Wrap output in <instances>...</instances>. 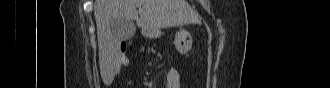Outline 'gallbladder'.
<instances>
[{"mask_svg":"<svg viewBox=\"0 0 330 88\" xmlns=\"http://www.w3.org/2000/svg\"><path fill=\"white\" fill-rule=\"evenodd\" d=\"M115 31L119 33L121 41L130 40L135 34L136 27L133 22L121 21L115 24Z\"/></svg>","mask_w":330,"mask_h":88,"instance_id":"gallbladder-1","label":"gallbladder"}]
</instances>
